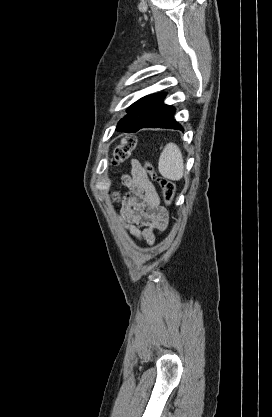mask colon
<instances>
[{"instance_id": "1", "label": "colon", "mask_w": 272, "mask_h": 417, "mask_svg": "<svg viewBox=\"0 0 272 417\" xmlns=\"http://www.w3.org/2000/svg\"><path fill=\"white\" fill-rule=\"evenodd\" d=\"M135 147L136 141L133 137L122 139V141L113 149V164H118L127 159ZM145 169L151 175L152 179L161 187L166 204L171 205L176 191L175 184L166 178L157 176L149 163L145 165Z\"/></svg>"}]
</instances>
